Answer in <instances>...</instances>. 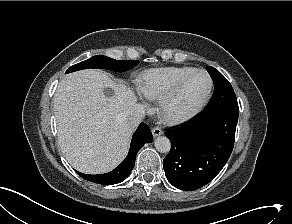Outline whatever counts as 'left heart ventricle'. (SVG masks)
<instances>
[{"label": "left heart ventricle", "mask_w": 292, "mask_h": 224, "mask_svg": "<svg viewBox=\"0 0 292 224\" xmlns=\"http://www.w3.org/2000/svg\"><path fill=\"white\" fill-rule=\"evenodd\" d=\"M208 88L209 78L206 74L193 75L170 105L169 112L173 115H180L192 110L205 97Z\"/></svg>", "instance_id": "obj_1"}]
</instances>
